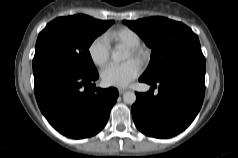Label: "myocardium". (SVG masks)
<instances>
[{
	"instance_id": "myocardium-1",
	"label": "myocardium",
	"mask_w": 238,
	"mask_h": 158,
	"mask_svg": "<svg viewBox=\"0 0 238 158\" xmlns=\"http://www.w3.org/2000/svg\"><path fill=\"white\" fill-rule=\"evenodd\" d=\"M131 56L140 62H144L147 58V51L142 46H134L128 48Z\"/></svg>"
}]
</instances>
